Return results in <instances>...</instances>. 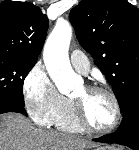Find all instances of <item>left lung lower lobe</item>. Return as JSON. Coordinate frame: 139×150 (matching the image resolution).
I'll return each instance as SVG.
<instances>
[{
	"instance_id": "0a47b994",
	"label": "left lung lower lobe",
	"mask_w": 139,
	"mask_h": 150,
	"mask_svg": "<svg viewBox=\"0 0 139 150\" xmlns=\"http://www.w3.org/2000/svg\"><path fill=\"white\" fill-rule=\"evenodd\" d=\"M122 113V122L115 133L93 140L103 143H116L139 150V96L134 97Z\"/></svg>"
}]
</instances>
